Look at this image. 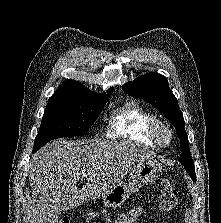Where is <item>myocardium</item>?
<instances>
[{
  "label": "myocardium",
  "mask_w": 221,
  "mask_h": 223,
  "mask_svg": "<svg viewBox=\"0 0 221 223\" xmlns=\"http://www.w3.org/2000/svg\"><path fill=\"white\" fill-rule=\"evenodd\" d=\"M148 136L158 146L167 147L171 144L174 133L166 121L156 118L149 126Z\"/></svg>",
  "instance_id": "1"
}]
</instances>
